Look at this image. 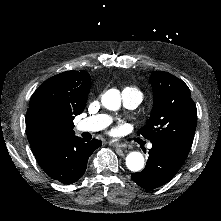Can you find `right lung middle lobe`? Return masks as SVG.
<instances>
[{
    "instance_id": "dd1d6c3e",
    "label": "right lung middle lobe",
    "mask_w": 221,
    "mask_h": 221,
    "mask_svg": "<svg viewBox=\"0 0 221 221\" xmlns=\"http://www.w3.org/2000/svg\"><path fill=\"white\" fill-rule=\"evenodd\" d=\"M63 122H64L63 120L56 117L52 116L46 117V126L48 129L52 131L58 130L62 126Z\"/></svg>"
}]
</instances>
